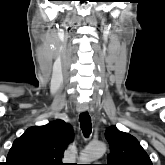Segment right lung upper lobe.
Segmentation results:
<instances>
[{
  "label": "right lung upper lobe",
  "mask_w": 165,
  "mask_h": 165,
  "mask_svg": "<svg viewBox=\"0 0 165 165\" xmlns=\"http://www.w3.org/2000/svg\"><path fill=\"white\" fill-rule=\"evenodd\" d=\"M72 140V128L63 120L30 127L14 141L6 165H63L64 150Z\"/></svg>",
  "instance_id": "cb5924a9"
}]
</instances>
